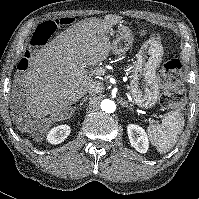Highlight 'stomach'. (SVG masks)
<instances>
[{"instance_id":"obj_1","label":"stomach","mask_w":199,"mask_h":199,"mask_svg":"<svg viewBox=\"0 0 199 199\" xmlns=\"http://www.w3.org/2000/svg\"><path fill=\"white\" fill-rule=\"evenodd\" d=\"M113 52L121 54L133 45V34L129 27L120 24L115 31ZM163 56V46L159 38L150 37L138 49L134 62L130 92L135 103L141 108L153 107L160 98L161 79L156 73Z\"/></svg>"}]
</instances>
